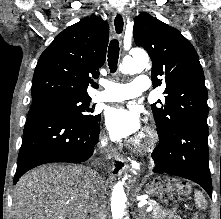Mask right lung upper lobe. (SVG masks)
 I'll list each match as a JSON object with an SVG mask.
<instances>
[{
    "label": "right lung upper lobe",
    "instance_id": "cb5924a9",
    "mask_svg": "<svg viewBox=\"0 0 221 219\" xmlns=\"http://www.w3.org/2000/svg\"><path fill=\"white\" fill-rule=\"evenodd\" d=\"M108 40V24L95 15L58 34L36 65L32 102L48 98L89 99L87 86L99 76ZM92 86L97 87L96 83Z\"/></svg>",
    "mask_w": 221,
    "mask_h": 219
}]
</instances>
